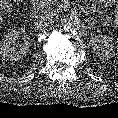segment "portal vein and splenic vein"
Wrapping results in <instances>:
<instances>
[{
    "label": "portal vein and splenic vein",
    "instance_id": "1",
    "mask_svg": "<svg viewBox=\"0 0 118 118\" xmlns=\"http://www.w3.org/2000/svg\"><path fill=\"white\" fill-rule=\"evenodd\" d=\"M104 26H109V24L107 22L104 23Z\"/></svg>",
    "mask_w": 118,
    "mask_h": 118
}]
</instances>
